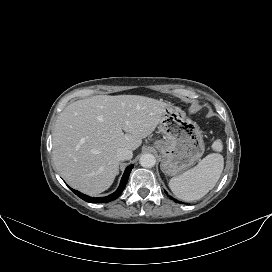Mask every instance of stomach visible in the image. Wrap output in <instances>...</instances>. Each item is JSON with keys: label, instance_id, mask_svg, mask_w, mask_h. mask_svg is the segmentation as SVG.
I'll list each match as a JSON object with an SVG mask.
<instances>
[{"label": "stomach", "instance_id": "stomach-1", "mask_svg": "<svg viewBox=\"0 0 272 272\" xmlns=\"http://www.w3.org/2000/svg\"><path fill=\"white\" fill-rule=\"evenodd\" d=\"M158 125L164 140L155 141L154 147L162 155L165 174L179 175L200 160L205 151L202 133L184 111L168 107Z\"/></svg>", "mask_w": 272, "mask_h": 272}]
</instances>
